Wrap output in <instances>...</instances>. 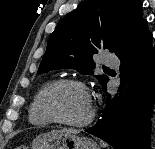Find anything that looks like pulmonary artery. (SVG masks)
<instances>
[{
    "instance_id": "pulmonary-artery-1",
    "label": "pulmonary artery",
    "mask_w": 155,
    "mask_h": 149,
    "mask_svg": "<svg viewBox=\"0 0 155 149\" xmlns=\"http://www.w3.org/2000/svg\"><path fill=\"white\" fill-rule=\"evenodd\" d=\"M103 61L108 66H117L119 65L120 61L117 56L113 54H107L104 56Z\"/></svg>"
}]
</instances>
